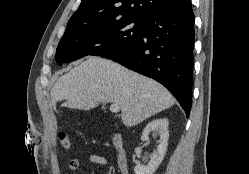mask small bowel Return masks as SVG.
Here are the masks:
<instances>
[{
  "instance_id": "small-bowel-1",
  "label": "small bowel",
  "mask_w": 249,
  "mask_h": 174,
  "mask_svg": "<svg viewBox=\"0 0 249 174\" xmlns=\"http://www.w3.org/2000/svg\"><path fill=\"white\" fill-rule=\"evenodd\" d=\"M87 161L92 164L102 165L108 167V174H114L115 170L112 165L109 164L108 160L101 155L93 154L87 157ZM81 164L80 158H74L70 160L68 164V171L70 173H74L79 169V166Z\"/></svg>"
}]
</instances>
